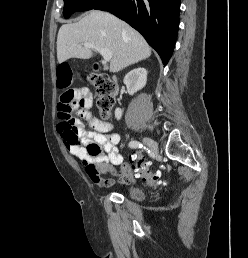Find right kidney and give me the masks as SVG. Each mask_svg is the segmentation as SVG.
I'll return each mask as SVG.
<instances>
[{
	"mask_svg": "<svg viewBox=\"0 0 248 258\" xmlns=\"http://www.w3.org/2000/svg\"><path fill=\"white\" fill-rule=\"evenodd\" d=\"M147 82V70L145 68L133 69L124 77V84L127 87V91L130 95H133L137 91L141 90ZM123 110L116 108L115 118L117 120L121 119Z\"/></svg>",
	"mask_w": 248,
	"mask_h": 258,
	"instance_id": "obj_1",
	"label": "right kidney"
}]
</instances>
